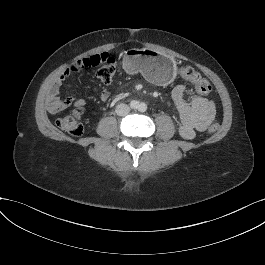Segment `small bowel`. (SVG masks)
Wrapping results in <instances>:
<instances>
[{
  "label": "small bowel",
  "instance_id": "small-bowel-1",
  "mask_svg": "<svg viewBox=\"0 0 265 265\" xmlns=\"http://www.w3.org/2000/svg\"><path fill=\"white\" fill-rule=\"evenodd\" d=\"M64 79V75L58 77L51 88L49 95V109L51 111L62 110L73 104L75 107H82L85 100L82 98L62 99L59 95V88ZM96 91V88H92ZM186 86L178 84L173 88L172 96L176 110L179 113V132L185 139H192L197 132L204 131L209 123L214 119L216 107L212 100L199 94H193L190 100H186ZM101 101H108L110 92L102 90L99 92Z\"/></svg>",
  "mask_w": 265,
  "mask_h": 265
}]
</instances>
